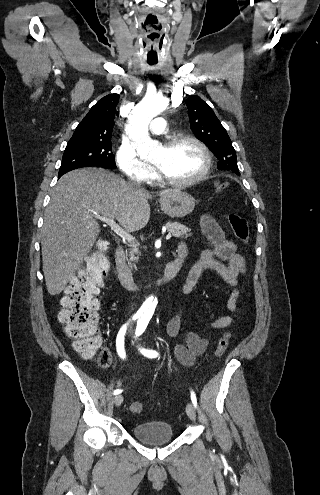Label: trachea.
I'll return each mask as SVG.
<instances>
[{"label": "trachea", "mask_w": 320, "mask_h": 495, "mask_svg": "<svg viewBox=\"0 0 320 495\" xmlns=\"http://www.w3.org/2000/svg\"><path fill=\"white\" fill-rule=\"evenodd\" d=\"M148 63H149V64H154V63H156V62L149 61Z\"/></svg>", "instance_id": "trachea-1"}]
</instances>
